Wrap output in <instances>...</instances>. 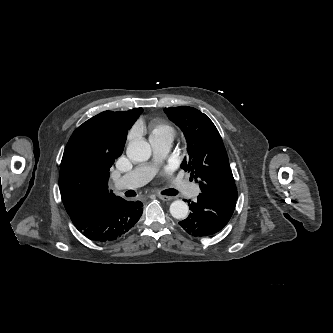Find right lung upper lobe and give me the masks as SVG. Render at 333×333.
Segmentation results:
<instances>
[{"instance_id":"cb5924a9","label":"right lung upper lobe","mask_w":333,"mask_h":333,"mask_svg":"<svg viewBox=\"0 0 333 333\" xmlns=\"http://www.w3.org/2000/svg\"><path fill=\"white\" fill-rule=\"evenodd\" d=\"M142 111V108H134L96 115L111 113L114 117L116 128L108 145L89 139L90 119L73 132L64 151L59 174L61 198L70 216L121 198L108 190L110 167L122 154L128 130Z\"/></svg>"}]
</instances>
